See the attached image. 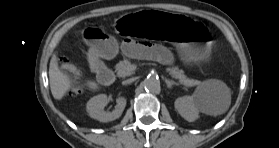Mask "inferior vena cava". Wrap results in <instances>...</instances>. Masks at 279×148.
I'll return each mask as SVG.
<instances>
[{
  "instance_id": "obj_1",
  "label": "inferior vena cava",
  "mask_w": 279,
  "mask_h": 148,
  "mask_svg": "<svg viewBox=\"0 0 279 148\" xmlns=\"http://www.w3.org/2000/svg\"><path fill=\"white\" fill-rule=\"evenodd\" d=\"M133 81H134V79L131 78V79H128V80L124 81L123 83H124V84H130V83H132Z\"/></svg>"
}]
</instances>
